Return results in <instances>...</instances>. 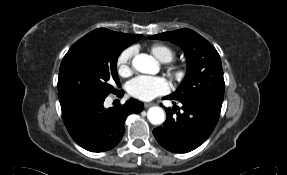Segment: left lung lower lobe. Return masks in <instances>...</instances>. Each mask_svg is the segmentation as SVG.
<instances>
[{"mask_svg": "<svg viewBox=\"0 0 287 175\" xmlns=\"http://www.w3.org/2000/svg\"><path fill=\"white\" fill-rule=\"evenodd\" d=\"M182 103V110L176 113V108H165L167 119L163 126L153 130L159 144L174 153H187L199 147L214 130L220 113L209 105L192 100H175ZM176 113V115H174Z\"/></svg>", "mask_w": 287, "mask_h": 175, "instance_id": "1", "label": "left lung lower lobe"}]
</instances>
